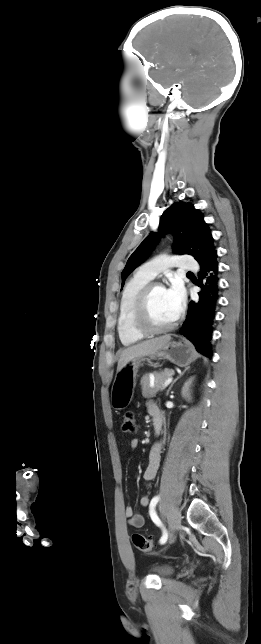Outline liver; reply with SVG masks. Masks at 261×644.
<instances>
[{
    "instance_id": "obj_1",
    "label": "liver",
    "mask_w": 261,
    "mask_h": 644,
    "mask_svg": "<svg viewBox=\"0 0 261 644\" xmlns=\"http://www.w3.org/2000/svg\"><path fill=\"white\" fill-rule=\"evenodd\" d=\"M170 340V335H164L125 348L121 351L120 358L118 360L117 372H119L131 359L153 354L166 345Z\"/></svg>"
}]
</instances>
